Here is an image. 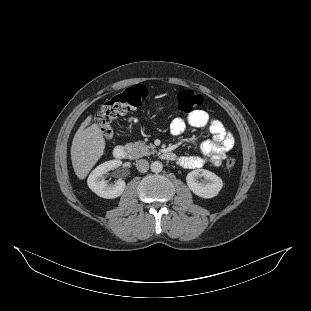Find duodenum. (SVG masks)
Returning <instances> with one entry per match:
<instances>
[{"label":"duodenum","mask_w":311,"mask_h":311,"mask_svg":"<svg viewBox=\"0 0 311 311\" xmlns=\"http://www.w3.org/2000/svg\"><path fill=\"white\" fill-rule=\"evenodd\" d=\"M113 155L116 159H119V160L127 159L128 157H130V153L128 149L123 145L115 146L113 149ZM162 158L165 160L172 161V160H175L176 156L172 152H164L162 154Z\"/></svg>","instance_id":"1"}]
</instances>
